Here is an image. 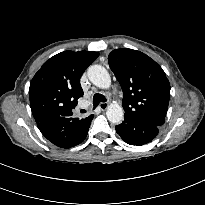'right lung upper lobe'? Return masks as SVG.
<instances>
[{
    "mask_svg": "<svg viewBox=\"0 0 205 205\" xmlns=\"http://www.w3.org/2000/svg\"><path fill=\"white\" fill-rule=\"evenodd\" d=\"M99 56L91 51H64L47 60L33 77L29 98L36 123L51 117L70 118L66 124L68 136H75L86 119L72 118L73 109L82 97L80 77Z\"/></svg>",
    "mask_w": 205,
    "mask_h": 205,
    "instance_id": "cb5924a9",
    "label": "right lung upper lobe"
}]
</instances>
